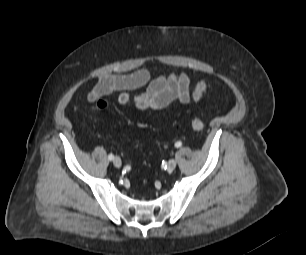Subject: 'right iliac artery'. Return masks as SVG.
Here are the masks:
<instances>
[{"label": "right iliac artery", "instance_id": "82829eb1", "mask_svg": "<svg viewBox=\"0 0 306 255\" xmlns=\"http://www.w3.org/2000/svg\"><path fill=\"white\" fill-rule=\"evenodd\" d=\"M108 159L109 160H113L114 159V156L112 154L108 155Z\"/></svg>", "mask_w": 306, "mask_h": 255}]
</instances>
